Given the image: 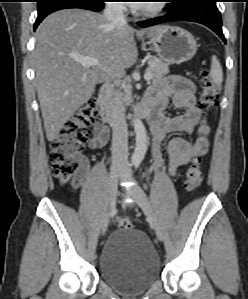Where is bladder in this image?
Returning <instances> with one entry per match:
<instances>
[{"mask_svg":"<svg viewBox=\"0 0 248 299\" xmlns=\"http://www.w3.org/2000/svg\"><path fill=\"white\" fill-rule=\"evenodd\" d=\"M161 272L159 256L141 230H115L99 258L101 278L125 294L145 292Z\"/></svg>","mask_w":248,"mask_h":299,"instance_id":"31cf9c89","label":"bladder"}]
</instances>
